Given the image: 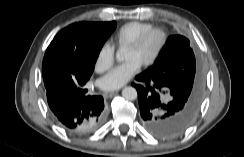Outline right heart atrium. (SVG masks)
Instances as JSON below:
<instances>
[{"label": "right heart atrium", "instance_id": "1", "mask_svg": "<svg viewBox=\"0 0 244 157\" xmlns=\"http://www.w3.org/2000/svg\"><path fill=\"white\" fill-rule=\"evenodd\" d=\"M115 47L108 41L101 44L95 59V70L98 73H105L114 64Z\"/></svg>", "mask_w": 244, "mask_h": 157}]
</instances>
